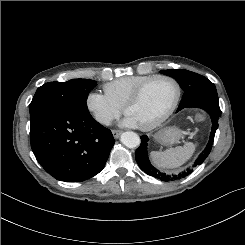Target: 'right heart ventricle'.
Listing matches in <instances>:
<instances>
[{
  "label": "right heart ventricle",
  "instance_id": "e07e8e85",
  "mask_svg": "<svg viewBox=\"0 0 245 245\" xmlns=\"http://www.w3.org/2000/svg\"><path fill=\"white\" fill-rule=\"evenodd\" d=\"M151 75L122 76L104 85L105 94L117 105L123 107L134 90Z\"/></svg>",
  "mask_w": 245,
  "mask_h": 245
}]
</instances>
